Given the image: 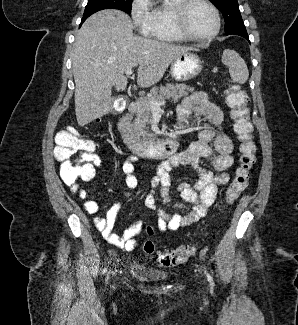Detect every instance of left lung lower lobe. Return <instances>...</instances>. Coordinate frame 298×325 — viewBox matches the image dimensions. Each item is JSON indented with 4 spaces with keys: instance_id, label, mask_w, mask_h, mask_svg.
Returning <instances> with one entry per match:
<instances>
[{
    "instance_id": "1",
    "label": "left lung lower lobe",
    "mask_w": 298,
    "mask_h": 325,
    "mask_svg": "<svg viewBox=\"0 0 298 325\" xmlns=\"http://www.w3.org/2000/svg\"><path fill=\"white\" fill-rule=\"evenodd\" d=\"M230 34H233V35H239V36H242L244 37L246 40L249 41V38H248V34H247V31H246V28H240V29H235L229 33H226V35H230Z\"/></svg>"
}]
</instances>
